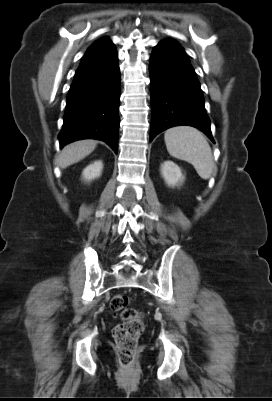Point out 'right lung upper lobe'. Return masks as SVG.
<instances>
[{
    "mask_svg": "<svg viewBox=\"0 0 272 401\" xmlns=\"http://www.w3.org/2000/svg\"><path fill=\"white\" fill-rule=\"evenodd\" d=\"M110 45H112V43H111L110 39L107 37L97 40L94 44H92L88 48L82 61L96 55L97 53L103 51L105 48L109 47Z\"/></svg>",
    "mask_w": 272,
    "mask_h": 401,
    "instance_id": "1",
    "label": "right lung upper lobe"
}]
</instances>
